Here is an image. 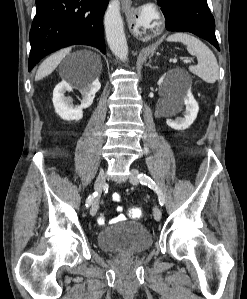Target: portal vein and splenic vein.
Wrapping results in <instances>:
<instances>
[{"label":"portal vein and splenic vein","mask_w":247,"mask_h":299,"mask_svg":"<svg viewBox=\"0 0 247 299\" xmlns=\"http://www.w3.org/2000/svg\"><path fill=\"white\" fill-rule=\"evenodd\" d=\"M173 62H176V59H173ZM186 63L191 62V60H185Z\"/></svg>","instance_id":"portal-vein-and-splenic-vein-1"}]
</instances>
